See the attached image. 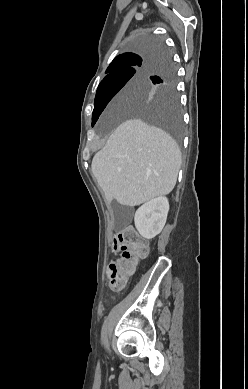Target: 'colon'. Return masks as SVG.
Masks as SVG:
<instances>
[{"instance_id": "5ec220e1", "label": "colon", "mask_w": 248, "mask_h": 389, "mask_svg": "<svg viewBox=\"0 0 248 389\" xmlns=\"http://www.w3.org/2000/svg\"><path fill=\"white\" fill-rule=\"evenodd\" d=\"M114 250L120 254V258L109 263L108 280L112 289H121L134 273L139 260L148 254L149 245L140 238L135 227L130 225L115 235Z\"/></svg>"}]
</instances>
